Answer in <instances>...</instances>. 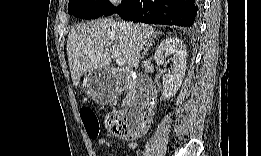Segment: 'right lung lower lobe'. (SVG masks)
<instances>
[{
  "label": "right lung lower lobe",
  "mask_w": 261,
  "mask_h": 156,
  "mask_svg": "<svg viewBox=\"0 0 261 156\" xmlns=\"http://www.w3.org/2000/svg\"><path fill=\"white\" fill-rule=\"evenodd\" d=\"M198 11V0H123L104 15L118 13L131 21L190 27L196 24Z\"/></svg>",
  "instance_id": "right-lung-lower-lobe-1"
}]
</instances>
